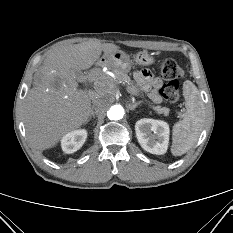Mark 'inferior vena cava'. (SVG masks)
Segmentation results:
<instances>
[{"instance_id":"602c4592","label":"inferior vena cava","mask_w":233,"mask_h":233,"mask_svg":"<svg viewBox=\"0 0 233 233\" xmlns=\"http://www.w3.org/2000/svg\"><path fill=\"white\" fill-rule=\"evenodd\" d=\"M101 94V91L89 92V97L95 103L97 101L98 96Z\"/></svg>"}]
</instances>
